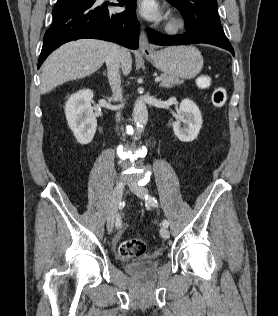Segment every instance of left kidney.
<instances>
[{"instance_id":"5707ae66","label":"left kidney","mask_w":278,"mask_h":316,"mask_svg":"<svg viewBox=\"0 0 278 316\" xmlns=\"http://www.w3.org/2000/svg\"><path fill=\"white\" fill-rule=\"evenodd\" d=\"M177 121L173 123V131L176 137L183 142H191L197 138L202 126V115L198 106L189 99L180 103ZM181 121L184 127H181Z\"/></svg>"}]
</instances>
